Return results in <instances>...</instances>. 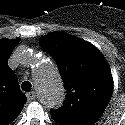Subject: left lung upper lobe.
<instances>
[{
  "label": "left lung upper lobe",
  "mask_w": 125,
  "mask_h": 125,
  "mask_svg": "<svg viewBox=\"0 0 125 125\" xmlns=\"http://www.w3.org/2000/svg\"><path fill=\"white\" fill-rule=\"evenodd\" d=\"M39 44L56 61L66 90L63 106L51 110L59 125H94L105 111L113 79L101 52L92 44L65 33H51Z\"/></svg>",
  "instance_id": "5c2ea615"
}]
</instances>
